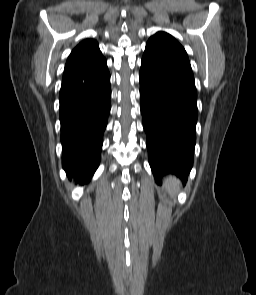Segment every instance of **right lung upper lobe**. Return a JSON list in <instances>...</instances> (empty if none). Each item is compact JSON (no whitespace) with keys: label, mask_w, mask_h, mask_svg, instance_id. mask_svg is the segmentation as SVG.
<instances>
[{"label":"right lung upper lobe","mask_w":256,"mask_h":295,"mask_svg":"<svg viewBox=\"0 0 256 295\" xmlns=\"http://www.w3.org/2000/svg\"><path fill=\"white\" fill-rule=\"evenodd\" d=\"M100 58L104 57L99 50L98 43L95 40L86 39L73 49L67 59L64 71Z\"/></svg>","instance_id":"cb5924a9"}]
</instances>
